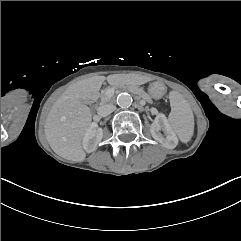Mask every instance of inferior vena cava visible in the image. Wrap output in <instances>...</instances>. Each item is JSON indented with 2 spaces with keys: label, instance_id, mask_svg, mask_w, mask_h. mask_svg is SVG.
Listing matches in <instances>:
<instances>
[{
  "label": "inferior vena cava",
  "instance_id": "1",
  "mask_svg": "<svg viewBox=\"0 0 241 241\" xmlns=\"http://www.w3.org/2000/svg\"><path fill=\"white\" fill-rule=\"evenodd\" d=\"M116 107L113 104H104L98 108V115L101 117H106L115 111Z\"/></svg>",
  "mask_w": 241,
  "mask_h": 241
}]
</instances>
